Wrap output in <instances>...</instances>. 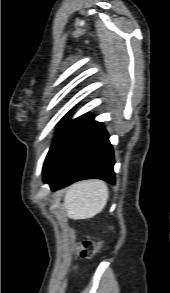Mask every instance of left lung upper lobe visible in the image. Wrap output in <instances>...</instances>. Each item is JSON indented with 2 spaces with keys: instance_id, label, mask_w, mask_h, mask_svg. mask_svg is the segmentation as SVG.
<instances>
[{
  "instance_id": "obj_1",
  "label": "left lung upper lobe",
  "mask_w": 170,
  "mask_h": 293,
  "mask_svg": "<svg viewBox=\"0 0 170 293\" xmlns=\"http://www.w3.org/2000/svg\"><path fill=\"white\" fill-rule=\"evenodd\" d=\"M91 119L89 114H84L74 120H70L69 114L58 123L57 135L51 144L50 150L44 162L43 173L56 161L60 153L71 141L74 135Z\"/></svg>"
}]
</instances>
